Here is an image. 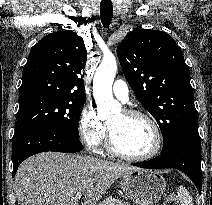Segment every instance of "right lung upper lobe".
<instances>
[{
  "instance_id": "obj_1",
  "label": "right lung upper lobe",
  "mask_w": 212,
  "mask_h": 205,
  "mask_svg": "<svg viewBox=\"0 0 212 205\" xmlns=\"http://www.w3.org/2000/svg\"><path fill=\"white\" fill-rule=\"evenodd\" d=\"M84 41L72 31L53 32L32 49L23 69L19 99L37 96L86 101Z\"/></svg>"
}]
</instances>
